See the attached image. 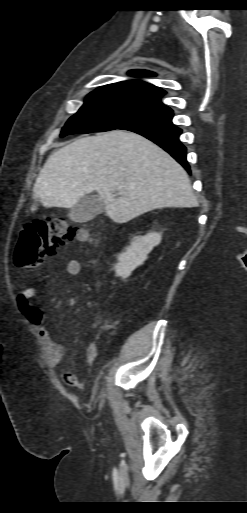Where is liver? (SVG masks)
<instances>
[{
  "label": "liver",
  "mask_w": 247,
  "mask_h": 513,
  "mask_svg": "<svg viewBox=\"0 0 247 513\" xmlns=\"http://www.w3.org/2000/svg\"><path fill=\"white\" fill-rule=\"evenodd\" d=\"M94 191L120 224L155 209L198 206L184 168L147 138L124 130L79 138L55 151L33 198L46 208H71Z\"/></svg>",
  "instance_id": "liver-1"
}]
</instances>
